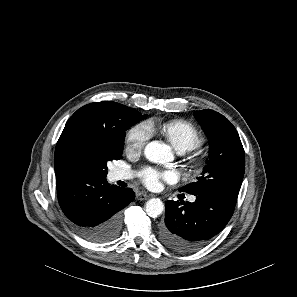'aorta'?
Segmentation results:
<instances>
[{
  "label": "aorta",
  "mask_w": 297,
  "mask_h": 297,
  "mask_svg": "<svg viewBox=\"0 0 297 297\" xmlns=\"http://www.w3.org/2000/svg\"><path fill=\"white\" fill-rule=\"evenodd\" d=\"M144 155L149 161L163 163L171 157V152L167 145L152 141L146 145ZM145 211L150 217H158L164 211V204L160 199L152 198L146 202Z\"/></svg>",
  "instance_id": "762f6f07"
}]
</instances>
